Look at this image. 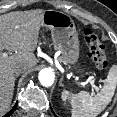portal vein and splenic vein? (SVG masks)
I'll list each match as a JSON object with an SVG mask.
<instances>
[{
  "mask_svg": "<svg viewBox=\"0 0 117 117\" xmlns=\"http://www.w3.org/2000/svg\"><path fill=\"white\" fill-rule=\"evenodd\" d=\"M3 57H7V54H3ZM57 68H59V70H63L62 66L58 63L56 64ZM88 82V81H87ZM91 85H92V88H95V85L92 81H90ZM86 83H82V85H85Z\"/></svg>",
  "mask_w": 117,
  "mask_h": 117,
  "instance_id": "portal-vein-and-splenic-vein-1",
  "label": "portal vein and splenic vein"
}]
</instances>
